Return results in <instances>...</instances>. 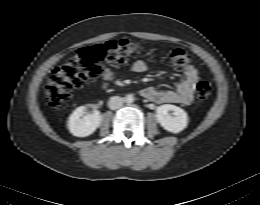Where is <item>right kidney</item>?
<instances>
[{"instance_id":"obj_1","label":"right kidney","mask_w":260,"mask_h":205,"mask_svg":"<svg viewBox=\"0 0 260 205\" xmlns=\"http://www.w3.org/2000/svg\"><path fill=\"white\" fill-rule=\"evenodd\" d=\"M102 116L96 109L90 114L86 113V107H78L69 117L68 129L77 137L91 135L101 124Z\"/></svg>"}]
</instances>
